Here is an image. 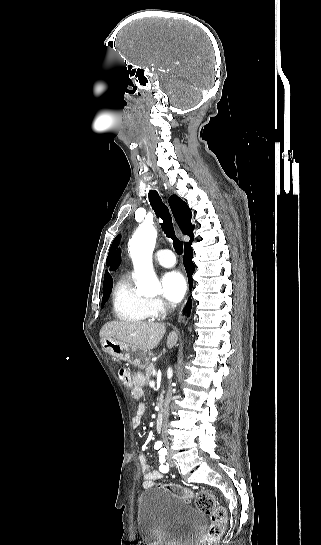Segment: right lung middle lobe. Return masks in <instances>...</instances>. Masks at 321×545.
<instances>
[{
	"label": "right lung middle lobe",
	"mask_w": 321,
	"mask_h": 545,
	"mask_svg": "<svg viewBox=\"0 0 321 545\" xmlns=\"http://www.w3.org/2000/svg\"><path fill=\"white\" fill-rule=\"evenodd\" d=\"M112 287L103 289L102 307L104 306Z\"/></svg>",
	"instance_id": "obj_1"
}]
</instances>
